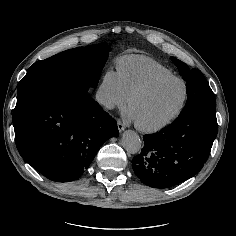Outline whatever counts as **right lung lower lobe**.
I'll return each mask as SVG.
<instances>
[{"label":"right lung lower lobe","instance_id":"obj_1","mask_svg":"<svg viewBox=\"0 0 236 236\" xmlns=\"http://www.w3.org/2000/svg\"><path fill=\"white\" fill-rule=\"evenodd\" d=\"M17 149L48 179L79 178L100 146L119 135L116 121L74 84L28 95L13 111Z\"/></svg>","mask_w":236,"mask_h":236}]
</instances>
